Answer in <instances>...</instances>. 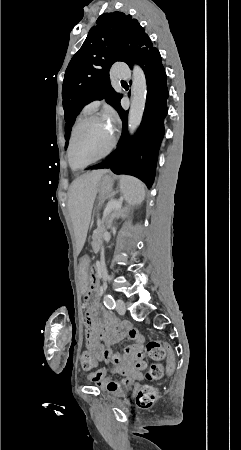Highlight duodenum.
<instances>
[{
	"label": "duodenum",
	"instance_id": "1",
	"mask_svg": "<svg viewBox=\"0 0 241 450\" xmlns=\"http://www.w3.org/2000/svg\"><path fill=\"white\" fill-rule=\"evenodd\" d=\"M97 289H98L97 278L95 275H92L90 280V291L95 293Z\"/></svg>",
	"mask_w": 241,
	"mask_h": 450
}]
</instances>
